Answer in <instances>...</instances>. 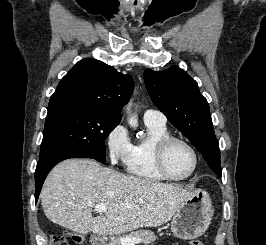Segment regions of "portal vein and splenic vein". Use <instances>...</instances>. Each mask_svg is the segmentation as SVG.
<instances>
[{"label": "portal vein and splenic vein", "mask_w": 266, "mask_h": 245, "mask_svg": "<svg viewBox=\"0 0 266 245\" xmlns=\"http://www.w3.org/2000/svg\"><path fill=\"white\" fill-rule=\"evenodd\" d=\"M126 209H133L132 205H127ZM94 211L96 213H105L107 211V205H95ZM140 237H121L119 239L120 245H135V243H141Z\"/></svg>", "instance_id": "obj_1"}]
</instances>
